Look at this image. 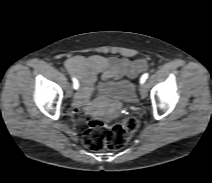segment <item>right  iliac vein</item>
Here are the masks:
<instances>
[{
    "label": "right iliac vein",
    "instance_id": "1",
    "mask_svg": "<svg viewBox=\"0 0 212 183\" xmlns=\"http://www.w3.org/2000/svg\"><path fill=\"white\" fill-rule=\"evenodd\" d=\"M77 94H78V92L75 95H77ZM72 95H73L72 88L71 87H68V89H67V96L68 97H71Z\"/></svg>",
    "mask_w": 212,
    "mask_h": 183
}]
</instances>
